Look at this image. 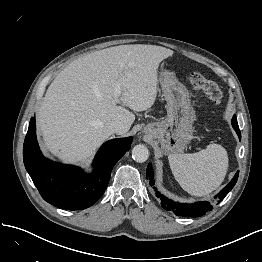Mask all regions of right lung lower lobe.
<instances>
[{"label":"right lung lower lobe","instance_id":"1","mask_svg":"<svg viewBox=\"0 0 262 262\" xmlns=\"http://www.w3.org/2000/svg\"><path fill=\"white\" fill-rule=\"evenodd\" d=\"M35 131L32 118L23 145L26 170L45 201L67 210L85 209L98 201L109 183L112 168L130 149L133 140L127 137L107 141L95 157L94 172L85 174L78 167L44 158Z\"/></svg>","mask_w":262,"mask_h":262}]
</instances>
